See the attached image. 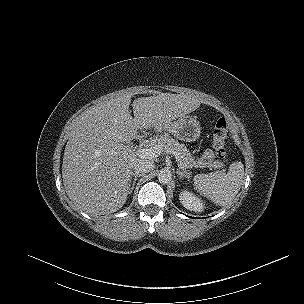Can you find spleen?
Returning <instances> with one entry per match:
<instances>
[{
	"instance_id": "obj_1",
	"label": "spleen",
	"mask_w": 304,
	"mask_h": 304,
	"mask_svg": "<svg viewBox=\"0 0 304 304\" xmlns=\"http://www.w3.org/2000/svg\"><path fill=\"white\" fill-rule=\"evenodd\" d=\"M244 179V165L233 162L228 172L218 171L211 174H198L194 177V187L216 205L226 206L238 194Z\"/></svg>"
}]
</instances>
